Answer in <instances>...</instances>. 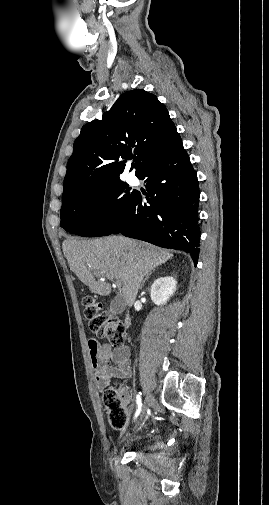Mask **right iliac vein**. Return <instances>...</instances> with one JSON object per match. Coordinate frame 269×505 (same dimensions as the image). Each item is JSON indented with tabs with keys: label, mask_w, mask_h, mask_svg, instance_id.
<instances>
[{
	"label": "right iliac vein",
	"mask_w": 269,
	"mask_h": 505,
	"mask_svg": "<svg viewBox=\"0 0 269 505\" xmlns=\"http://www.w3.org/2000/svg\"><path fill=\"white\" fill-rule=\"evenodd\" d=\"M153 403V397L151 394H147L146 397H145V400H144V405H143V410H142V414H141V417H140V420L139 422L136 424V427L140 424V422L144 419L145 415H146V412L148 410V408L151 406V404Z\"/></svg>",
	"instance_id": "right-iliac-vein-1"
}]
</instances>
